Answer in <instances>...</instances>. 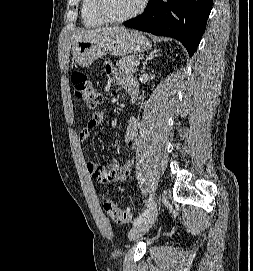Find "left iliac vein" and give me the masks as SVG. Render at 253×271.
<instances>
[{"label": "left iliac vein", "instance_id": "1", "mask_svg": "<svg viewBox=\"0 0 253 271\" xmlns=\"http://www.w3.org/2000/svg\"><path fill=\"white\" fill-rule=\"evenodd\" d=\"M157 218V203L152 202L149 213L136 223L129 231V239L137 240L141 238L155 223Z\"/></svg>", "mask_w": 253, "mask_h": 271}]
</instances>
